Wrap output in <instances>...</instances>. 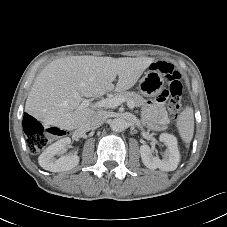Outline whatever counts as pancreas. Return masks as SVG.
I'll return each instance as SVG.
<instances>
[{
  "instance_id": "pancreas-1",
  "label": "pancreas",
  "mask_w": 227,
  "mask_h": 227,
  "mask_svg": "<svg viewBox=\"0 0 227 227\" xmlns=\"http://www.w3.org/2000/svg\"><path fill=\"white\" fill-rule=\"evenodd\" d=\"M115 96L122 97L126 102L133 101L136 107H141L145 104V99L135 92H117ZM143 125L152 130H164L166 127H160L157 125H152L146 122L144 119L141 120Z\"/></svg>"
}]
</instances>
